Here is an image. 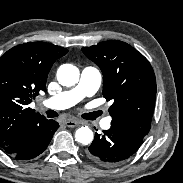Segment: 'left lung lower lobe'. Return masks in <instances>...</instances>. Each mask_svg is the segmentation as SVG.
Returning <instances> with one entry per match:
<instances>
[{"mask_svg": "<svg viewBox=\"0 0 183 183\" xmlns=\"http://www.w3.org/2000/svg\"><path fill=\"white\" fill-rule=\"evenodd\" d=\"M143 138L126 128L111 125L102 135L95 134L86 153L93 162L111 166L133 155L142 144Z\"/></svg>", "mask_w": 183, "mask_h": 183, "instance_id": "obj_1", "label": "left lung lower lobe"}]
</instances>
